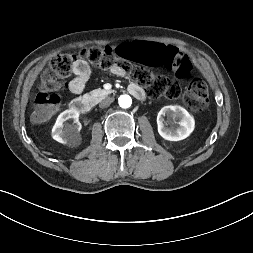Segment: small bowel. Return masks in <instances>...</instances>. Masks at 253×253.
<instances>
[{"mask_svg":"<svg viewBox=\"0 0 253 253\" xmlns=\"http://www.w3.org/2000/svg\"><path fill=\"white\" fill-rule=\"evenodd\" d=\"M170 47L176 48L174 46H170ZM110 71L117 76L124 75V72L117 66L112 67ZM89 77H90V68H89L88 63L82 59L77 60L73 66V76L69 82L70 91L74 94L82 93L85 88L86 83L89 80Z\"/></svg>","mask_w":253,"mask_h":253,"instance_id":"obj_1","label":"small bowel"}]
</instances>
